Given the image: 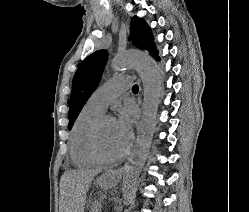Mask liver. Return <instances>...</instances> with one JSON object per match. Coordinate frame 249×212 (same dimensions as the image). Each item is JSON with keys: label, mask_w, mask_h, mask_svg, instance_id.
<instances>
[{"label": "liver", "mask_w": 249, "mask_h": 212, "mask_svg": "<svg viewBox=\"0 0 249 212\" xmlns=\"http://www.w3.org/2000/svg\"><path fill=\"white\" fill-rule=\"evenodd\" d=\"M102 172L99 170H71L65 174L67 182V212H84L87 192L94 182L95 176ZM122 176L121 170H106L100 178H97V186H101L103 190H111L116 188Z\"/></svg>", "instance_id": "6515ba94"}]
</instances>
